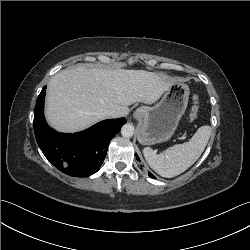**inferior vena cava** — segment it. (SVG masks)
Masks as SVG:
<instances>
[{
    "instance_id": "602c4592",
    "label": "inferior vena cava",
    "mask_w": 250,
    "mask_h": 250,
    "mask_svg": "<svg viewBox=\"0 0 250 250\" xmlns=\"http://www.w3.org/2000/svg\"><path fill=\"white\" fill-rule=\"evenodd\" d=\"M106 117L107 118H119L120 114L117 111H108L106 112Z\"/></svg>"
}]
</instances>
